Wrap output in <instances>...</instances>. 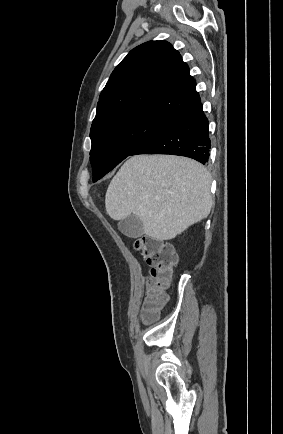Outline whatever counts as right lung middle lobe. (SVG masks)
I'll return each mask as SVG.
<instances>
[{
	"mask_svg": "<svg viewBox=\"0 0 283 434\" xmlns=\"http://www.w3.org/2000/svg\"><path fill=\"white\" fill-rule=\"evenodd\" d=\"M169 121L155 114L137 112L115 116L91 127L93 181L111 171Z\"/></svg>",
	"mask_w": 283,
	"mask_h": 434,
	"instance_id": "dd1d6c3e",
	"label": "right lung middle lobe"
}]
</instances>
